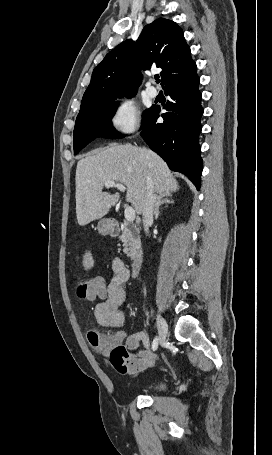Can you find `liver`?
Here are the masks:
<instances>
[{"mask_svg": "<svg viewBox=\"0 0 272 455\" xmlns=\"http://www.w3.org/2000/svg\"><path fill=\"white\" fill-rule=\"evenodd\" d=\"M161 194L179 189L166 163L153 151L130 144H111L79 160L76 168V214L80 226L105 216L119 200V193L102 192L106 181L127 186L126 201L141 214L147 195V177Z\"/></svg>", "mask_w": 272, "mask_h": 455, "instance_id": "obj_1", "label": "liver"}]
</instances>
